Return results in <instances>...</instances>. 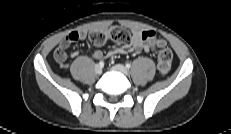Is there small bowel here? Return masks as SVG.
<instances>
[{
	"mask_svg": "<svg viewBox=\"0 0 231 134\" xmlns=\"http://www.w3.org/2000/svg\"><path fill=\"white\" fill-rule=\"evenodd\" d=\"M87 32L85 30H78L69 33L54 51L55 61L62 66L66 65L67 52L66 50L75 42L85 40ZM156 37L153 31H140L137 29L131 30L130 42L117 47H114L104 53L100 49H95L92 52L94 59H102L113 55H123L128 53H140L142 51L151 52L156 49ZM80 54L79 50L71 52V57L76 58Z\"/></svg>",
	"mask_w": 231,
	"mask_h": 134,
	"instance_id": "small-bowel-1",
	"label": "small bowel"
}]
</instances>
